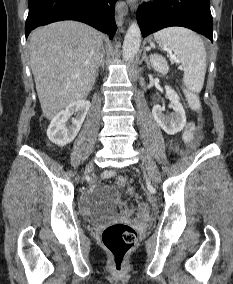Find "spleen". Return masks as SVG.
<instances>
[{
	"mask_svg": "<svg viewBox=\"0 0 233 284\" xmlns=\"http://www.w3.org/2000/svg\"><path fill=\"white\" fill-rule=\"evenodd\" d=\"M154 38L181 63L184 69L183 82L187 89L200 93L206 73V51L202 39L183 27L162 29L154 34Z\"/></svg>",
	"mask_w": 233,
	"mask_h": 284,
	"instance_id": "obj_1",
	"label": "spleen"
}]
</instances>
